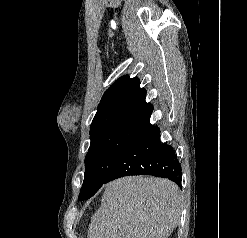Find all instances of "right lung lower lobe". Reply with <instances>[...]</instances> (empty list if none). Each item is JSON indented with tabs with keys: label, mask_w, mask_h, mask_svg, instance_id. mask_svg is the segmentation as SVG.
<instances>
[{
	"label": "right lung lower lobe",
	"mask_w": 247,
	"mask_h": 238,
	"mask_svg": "<svg viewBox=\"0 0 247 238\" xmlns=\"http://www.w3.org/2000/svg\"><path fill=\"white\" fill-rule=\"evenodd\" d=\"M168 178L181 185V168L170 145L160 141V129L148 121L110 170L104 183L128 175Z\"/></svg>",
	"instance_id": "98d812e1"
}]
</instances>
